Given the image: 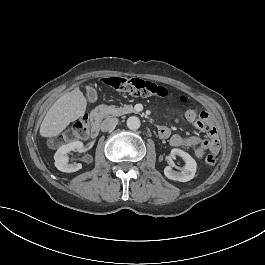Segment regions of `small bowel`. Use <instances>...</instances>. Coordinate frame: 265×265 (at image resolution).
<instances>
[{
	"label": "small bowel",
	"instance_id": "1",
	"mask_svg": "<svg viewBox=\"0 0 265 265\" xmlns=\"http://www.w3.org/2000/svg\"><path fill=\"white\" fill-rule=\"evenodd\" d=\"M203 113L207 112H201L199 113L196 109H189L186 112V119L194 123L197 129L200 131H207V134L209 136V139H201L196 136H189V137H183L179 134H173L170 128L166 126H161L158 130V134L160 138L162 139H168L169 143L172 147L175 148H192L194 151V154L197 158L203 159L207 151H219V141H218V135L216 127L212 121V118L209 115V118L206 123L203 125L201 124L200 116Z\"/></svg>",
	"mask_w": 265,
	"mask_h": 265
}]
</instances>
